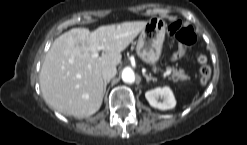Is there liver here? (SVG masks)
<instances>
[{"label":"liver","mask_w":247,"mask_h":145,"mask_svg":"<svg viewBox=\"0 0 247 145\" xmlns=\"http://www.w3.org/2000/svg\"><path fill=\"white\" fill-rule=\"evenodd\" d=\"M147 21L100 26L93 32L73 28L56 38L45 56L39 81L45 102L65 115L84 118L96 113L103 100L102 69L121 62V52ZM101 47L100 57L91 54Z\"/></svg>","instance_id":"1"}]
</instances>
